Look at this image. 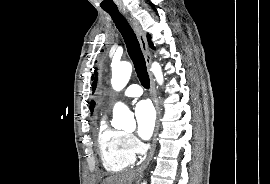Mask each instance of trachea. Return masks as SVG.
<instances>
[{
	"mask_svg": "<svg viewBox=\"0 0 270 184\" xmlns=\"http://www.w3.org/2000/svg\"><path fill=\"white\" fill-rule=\"evenodd\" d=\"M106 12L110 14L117 29L123 36L129 56L133 61L137 76L141 84L146 89H149L150 80L146 69V62L143 53L141 51L140 44L138 42L136 34L134 33L133 29L131 28L127 20L119 12L118 9H110L106 10Z\"/></svg>",
	"mask_w": 270,
	"mask_h": 184,
	"instance_id": "obj_1",
	"label": "trachea"
}]
</instances>
